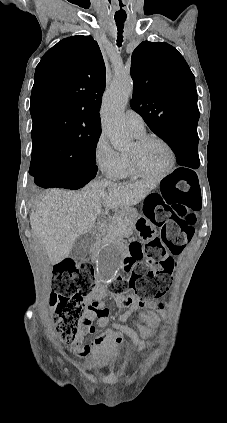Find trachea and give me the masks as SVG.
<instances>
[{"label":"trachea","mask_w":227,"mask_h":423,"mask_svg":"<svg viewBox=\"0 0 227 423\" xmlns=\"http://www.w3.org/2000/svg\"><path fill=\"white\" fill-rule=\"evenodd\" d=\"M125 18L122 19H115L116 25L118 27V38H117V45L118 47H121V44L123 42V36H122V32H123V24L125 22Z\"/></svg>","instance_id":"3493384b"}]
</instances>
